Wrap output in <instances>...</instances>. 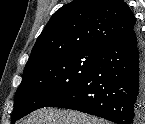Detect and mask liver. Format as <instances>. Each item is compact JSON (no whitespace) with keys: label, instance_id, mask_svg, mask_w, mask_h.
<instances>
[{"label":"liver","instance_id":"liver-1","mask_svg":"<svg viewBox=\"0 0 145 124\" xmlns=\"http://www.w3.org/2000/svg\"><path fill=\"white\" fill-rule=\"evenodd\" d=\"M22 124H105L96 118H90L82 113L58 110L42 109L32 114ZM107 124V123H106Z\"/></svg>","mask_w":145,"mask_h":124}]
</instances>
